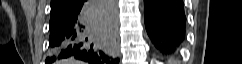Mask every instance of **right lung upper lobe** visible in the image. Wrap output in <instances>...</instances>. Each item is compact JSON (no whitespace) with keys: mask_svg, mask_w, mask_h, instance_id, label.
<instances>
[{"mask_svg":"<svg viewBox=\"0 0 242 64\" xmlns=\"http://www.w3.org/2000/svg\"><path fill=\"white\" fill-rule=\"evenodd\" d=\"M78 0H51V14H64L76 7Z\"/></svg>","mask_w":242,"mask_h":64,"instance_id":"right-lung-upper-lobe-1","label":"right lung upper lobe"}]
</instances>
